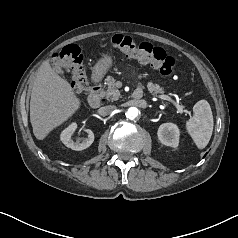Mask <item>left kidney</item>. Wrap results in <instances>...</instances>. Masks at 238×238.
Segmentation results:
<instances>
[{
  "mask_svg": "<svg viewBox=\"0 0 238 238\" xmlns=\"http://www.w3.org/2000/svg\"><path fill=\"white\" fill-rule=\"evenodd\" d=\"M158 139L166 146L176 148L179 145L180 130L174 123H164L158 128Z\"/></svg>",
  "mask_w": 238,
  "mask_h": 238,
  "instance_id": "5707ae66",
  "label": "left kidney"
}]
</instances>
